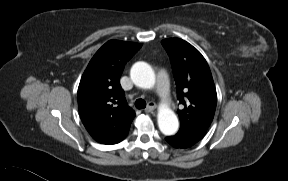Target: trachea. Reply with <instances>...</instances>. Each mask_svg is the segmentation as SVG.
Returning a JSON list of instances; mask_svg holds the SVG:
<instances>
[{
  "label": "trachea",
  "instance_id": "3493384b",
  "mask_svg": "<svg viewBox=\"0 0 288 181\" xmlns=\"http://www.w3.org/2000/svg\"><path fill=\"white\" fill-rule=\"evenodd\" d=\"M135 106L137 109H144L146 107V102L143 99H137L135 101Z\"/></svg>",
  "mask_w": 288,
  "mask_h": 181
}]
</instances>
